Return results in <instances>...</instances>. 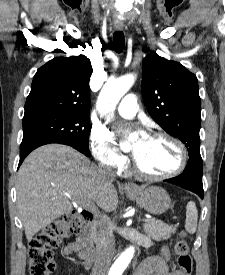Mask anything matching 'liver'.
I'll list each match as a JSON object with an SVG mask.
<instances>
[{"instance_id":"liver-1","label":"liver","mask_w":225,"mask_h":275,"mask_svg":"<svg viewBox=\"0 0 225 275\" xmlns=\"http://www.w3.org/2000/svg\"><path fill=\"white\" fill-rule=\"evenodd\" d=\"M17 207L30 242L41 229L72 210L70 201L89 203L107 212L118 195L94 163L77 150L48 144L30 153L17 174Z\"/></svg>"}]
</instances>
